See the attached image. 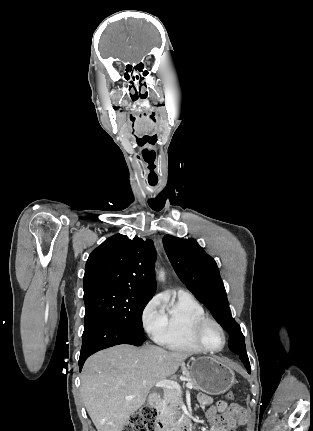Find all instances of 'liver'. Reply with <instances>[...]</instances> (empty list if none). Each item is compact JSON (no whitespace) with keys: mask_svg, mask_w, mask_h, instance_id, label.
<instances>
[{"mask_svg":"<svg viewBox=\"0 0 313 431\" xmlns=\"http://www.w3.org/2000/svg\"><path fill=\"white\" fill-rule=\"evenodd\" d=\"M190 355L157 346L122 344L87 359L81 394L97 431H122L146 401L151 387L175 374ZM134 396L127 400L126 397Z\"/></svg>","mask_w":313,"mask_h":431,"instance_id":"obj_1","label":"liver"}]
</instances>
